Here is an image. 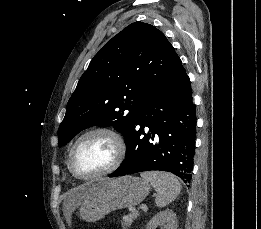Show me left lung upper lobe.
Returning <instances> with one entry per match:
<instances>
[{
	"mask_svg": "<svg viewBox=\"0 0 261 229\" xmlns=\"http://www.w3.org/2000/svg\"><path fill=\"white\" fill-rule=\"evenodd\" d=\"M181 65L160 30L130 24L103 46L81 76L58 128V146L94 125L114 126L127 142L150 92Z\"/></svg>",
	"mask_w": 261,
	"mask_h": 229,
	"instance_id": "obj_1",
	"label": "left lung upper lobe"
}]
</instances>
